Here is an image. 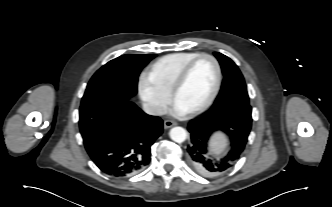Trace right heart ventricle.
I'll return each mask as SVG.
<instances>
[{"label": "right heart ventricle", "mask_w": 332, "mask_h": 207, "mask_svg": "<svg viewBox=\"0 0 332 207\" xmlns=\"http://www.w3.org/2000/svg\"><path fill=\"white\" fill-rule=\"evenodd\" d=\"M199 54V52H178L165 55L150 65L146 76L157 87L170 93L181 69Z\"/></svg>", "instance_id": "right-heart-ventricle-1"}]
</instances>
